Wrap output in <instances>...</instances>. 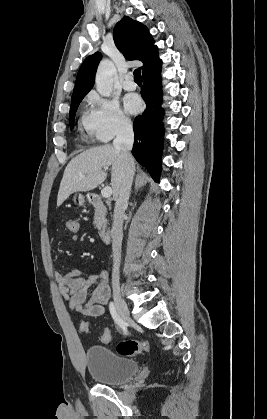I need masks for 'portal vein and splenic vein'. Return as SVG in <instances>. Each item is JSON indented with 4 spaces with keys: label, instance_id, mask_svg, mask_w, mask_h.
<instances>
[{
    "label": "portal vein and splenic vein",
    "instance_id": "obj_1",
    "mask_svg": "<svg viewBox=\"0 0 267 419\" xmlns=\"http://www.w3.org/2000/svg\"><path fill=\"white\" fill-rule=\"evenodd\" d=\"M111 194H112V188L109 186H106L101 190V195L103 198H109Z\"/></svg>",
    "mask_w": 267,
    "mask_h": 419
}]
</instances>
